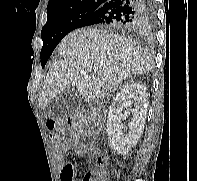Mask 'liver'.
<instances>
[{
	"label": "liver",
	"mask_w": 197,
	"mask_h": 181,
	"mask_svg": "<svg viewBox=\"0 0 197 181\" xmlns=\"http://www.w3.org/2000/svg\"><path fill=\"white\" fill-rule=\"evenodd\" d=\"M58 52L63 59L53 63L45 77L39 95L41 109L71 86H76L80 100L105 98L132 74L153 68V60L136 42L101 29L69 33L58 45Z\"/></svg>",
	"instance_id": "1"
}]
</instances>
